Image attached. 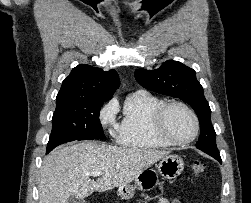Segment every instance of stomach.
<instances>
[{
    "instance_id": "stomach-1",
    "label": "stomach",
    "mask_w": 251,
    "mask_h": 203,
    "mask_svg": "<svg viewBox=\"0 0 251 203\" xmlns=\"http://www.w3.org/2000/svg\"><path fill=\"white\" fill-rule=\"evenodd\" d=\"M184 169L183 160L177 155H166L160 159L157 169L147 168L135 179L134 184L119 186L117 194L122 199H132L135 190L149 191L159 183L158 176L165 179H175Z\"/></svg>"
}]
</instances>
